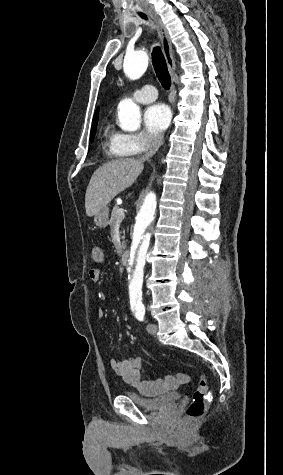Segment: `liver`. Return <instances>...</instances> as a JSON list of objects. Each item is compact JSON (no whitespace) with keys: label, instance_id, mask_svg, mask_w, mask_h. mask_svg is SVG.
Returning a JSON list of instances; mask_svg holds the SVG:
<instances>
[{"label":"liver","instance_id":"obj_1","mask_svg":"<svg viewBox=\"0 0 283 475\" xmlns=\"http://www.w3.org/2000/svg\"><path fill=\"white\" fill-rule=\"evenodd\" d=\"M144 168L143 160L120 158L100 166L94 172L86 190L85 208L89 218L96 216L102 208L134 184Z\"/></svg>","mask_w":283,"mask_h":475}]
</instances>
